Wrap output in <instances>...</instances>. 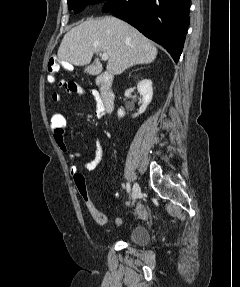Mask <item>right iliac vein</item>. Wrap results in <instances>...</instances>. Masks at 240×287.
I'll return each mask as SVG.
<instances>
[{
    "label": "right iliac vein",
    "mask_w": 240,
    "mask_h": 287,
    "mask_svg": "<svg viewBox=\"0 0 240 287\" xmlns=\"http://www.w3.org/2000/svg\"><path fill=\"white\" fill-rule=\"evenodd\" d=\"M140 195H141L140 186L138 185V183H135L132 189L133 201H136L140 197Z\"/></svg>",
    "instance_id": "obj_1"
}]
</instances>
